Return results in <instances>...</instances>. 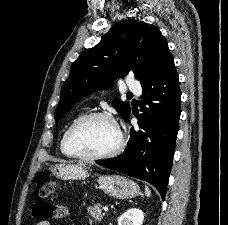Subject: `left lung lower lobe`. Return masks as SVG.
<instances>
[{
	"instance_id": "1",
	"label": "left lung lower lobe",
	"mask_w": 228,
	"mask_h": 225,
	"mask_svg": "<svg viewBox=\"0 0 228 225\" xmlns=\"http://www.w3.org/2000/svg\"><path fill=\"white\" fill-rule=\"evenodd\" d=\"M141 85L139 128H131L129 142L120 156L95 162L151 183L164 199L181 113V92L172 55L153 78Z\"/></svg>"
}]
</instances>
